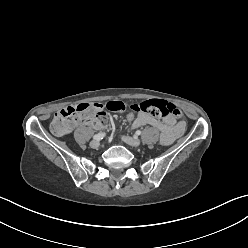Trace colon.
<instances>
[{
    "mask_svg": "<svg viewBox=\"0 0 248 248\" xmlns=\"http://www.w3.org/2000/svg\"><path fill=\"white\" fill-rule=\"evenodd\" d=\"M129 108L135 112H141L153 117H164L172 115L176 118H182L183 114L175 105L162 100H145L142 102L126 105L123 102H109L107 109L110 111L121 112L125 115L126 123L130 124L134 119L132 111H126ZM79 121L96 125L102 131L110 128V116L104 110L100 103H81L76 106L66 107L57 112L51 122L50 128L53 134L61 136L66 134Z\"/></svg>",
    "mask_w": 248,
    "mask_h": 248,
    "instance_id": "obj_1",
    "label": "colon"
}]
</instances>
